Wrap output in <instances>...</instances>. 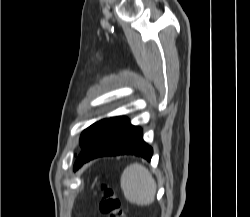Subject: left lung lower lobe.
Wrapping results in <instances>:
<instances>
[{"mask_svg":"<svg viewBox=\"0 0 250 217\" xmlns=\"http://www.w3.org/2000/svg\"><path fill=\"white\" fill-rule=\"evenodd\" d=\"M122 154L150 160L153 150L144 142L141 128L131 125L126 117H115L109 119L85 145L75 161L74 170L91 159Z\"/></svg>","mask_w":250,"mask_h":217,"instance_id":"obj_1","label":"left lung lower lobe"}]
</instances>
